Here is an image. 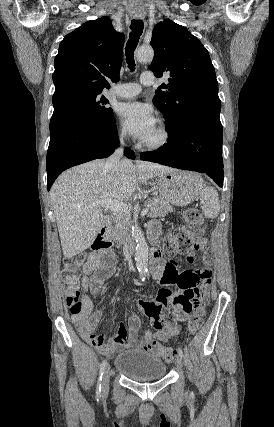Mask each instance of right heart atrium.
<instances>
[{"mask_svg": "<svg viewBox=\"0 0 274 427\" xmlns=\"http://www.w3.org/2000/svg\"><path fill=\"white\" fill-rule=\"evenodd\" d=\"M125 139H126V135H125V133L121 132V133L119 134V140H120L122 143H124V142H125Z\"/></svg>", "mask_w": 274, "mask_h": 427, "instance_id": "1", "label": "right heart atrium"}]
</instances>
